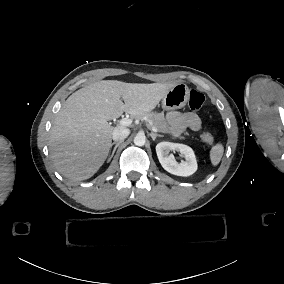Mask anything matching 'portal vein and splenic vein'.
I'll use <instances>...</instances> for the list:
<instances>
[{"label":"portal vein and splenic vein","mask_w":284,"mask_h":284,"mask_svg":"<svg viewBox=\"0 0 284 284\" xmlns=\"http://www.w3.org/2000/svg\"><path fill=\"white\" fill-rule=\"evenodd\" d=\"M120 126H129L131 124V120L128 119V118H123L121 120H119V123H118ZM154 132H158L157 129H153Z\"/></svg>","instance_id":"1"}]
</instances>
